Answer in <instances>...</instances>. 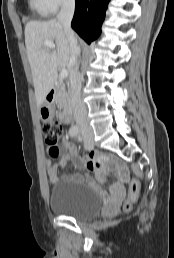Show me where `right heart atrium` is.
Returning <instances> with one entry per match:
<instances>
[{
    "mask_svg": "<svg viewBox=\"0 0 174 258\" xmlns=\"http://www.w3.org/2000/svg\"><path fill=\"white\" fill-rule=\"evenodd\" d=\"M47 13L54 14L59 9L71 5L74 3V0H42Z\"/></svg>",
    "mask_w": 174,
    "mask_h": 258,
    "instance_id": "1",
    "label": "right heart atrium"
}]
</instances>
